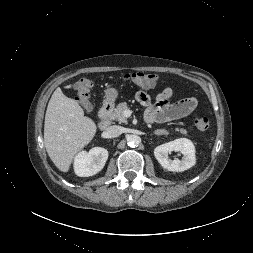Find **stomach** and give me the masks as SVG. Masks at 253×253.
I'll return each mask as SVG.
<instances>
[{"mask_svg": "<svg viewBox=\"0 0 253 253\" xmlns=\"http://www.w3.org/2000/svg\"><path fill=\"white\" fill-rule=\"evenodd\" d=\"M118 96V91L115 88H107L105 90V100L109 103H113Z\"/></svg>", "mask_w": 253, "mask_h": 253, "instance_id": "obj_1", "label": "stomach"}]
</instances>
